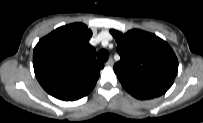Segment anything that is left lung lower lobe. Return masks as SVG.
Here are the masks:
<instances>
[{
	"label": "left lung lower lobe",
	"instance_id": "1",
	"mask_svg": "<svg viewBox=\"0 0 203 123\" xmlns=\"http://www.w3.org/2000/svg\"><path fill=\"white\" fill-rule=\"evenodd\" d=\"M131 95H133L134 97L138 98V99H150L153 97H149V96H145L143 94H139V93H135V92H129Z\"/></svg>",
	"mask_w": 203,
	"mask_h": 123
}]
</instances>
